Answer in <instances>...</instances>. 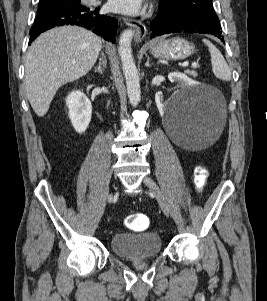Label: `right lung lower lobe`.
I'll use <instances>...</instances> for the list:
<instances>
[{"label":"right lung lower lobe","mask_w":267,"mask_h":301,"mask_svg":"<svg viewBox=\"0 0 267 301\" xmlns=\"http://www.w3.org/2000/svg\"><path fill=\"white\" fill-rule=\"evenodd\" d=\"M99 7L79 3L67 4L60 8L37 13L30 30L31 42L42 32L61 25H78L92 30L104 39L114 42L118 21L99 13Z\"/></svg>","instance_id":"right-lung-lower-lobe-1"}]
</instances>
